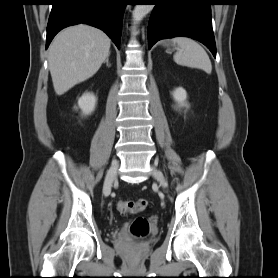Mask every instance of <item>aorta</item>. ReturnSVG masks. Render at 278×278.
<instances>
[{"label":"aorta","mask_w":278,"mask_h":278,"mask_svg":"<svg viewBox=\"0 0 278 278\" xmlns=\"http://www.w3.org/2000/svg\"><path fill=\"white\" fill-rule=\"evenodd\" d=\"M152 5H135L132 18L135 23H139L151 10Z\"/></svg>","instance_id":"aorta-1"}]
</instances>
